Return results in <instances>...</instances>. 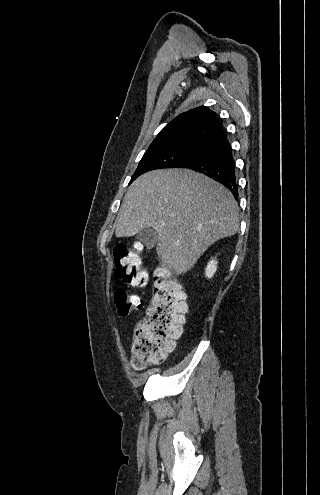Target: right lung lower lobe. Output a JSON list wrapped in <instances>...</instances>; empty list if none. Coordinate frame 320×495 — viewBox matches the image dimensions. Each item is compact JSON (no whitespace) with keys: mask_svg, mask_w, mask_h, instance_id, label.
<instances>
[{"mask_svg":"<svg viewBox=\"0 0 320 495\" xmlns=\"http://www.w3.org/2000/svg\"><path fill=\"white\" fill-rule=\"evenodd\" d=\"M203 173L222 183L238 198L235 163L224 131L212 136L187 161L177 166Z\"/></svg>","mask_w":320,"mask_h":495,"instance_id":"obj_1","label":"right lung lower lobe"}]
</instances>
